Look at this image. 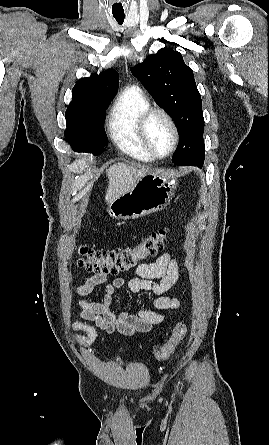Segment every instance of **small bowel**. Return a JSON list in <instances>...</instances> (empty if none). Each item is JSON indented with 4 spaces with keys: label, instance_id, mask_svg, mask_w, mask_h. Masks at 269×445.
Returning <instances> with one entry per match:
<instances>
[{
    "label": "small bowel",
    "instance_id": "small-bowel-1",
    "mask_svg": "<svg viewBox=\"0 0 269 445\" xmlns=\"http://www.w3.org/2000/svg\"><path fill=\"white\" fill-rule=\"evenodd\" d=\"M179 267L176 258L169 252H164L154 262L140 263L134 268V276L130 278L118 277L98 291V299L77 301L78 312L81 318L94 324L75 321L71 328L81 331L76 334V342L87 347L97 338V328L107 332H118L130 336L137 332H148L153 326L162 323L164 313L140 309L132 312H116L112 307L113 294L118 289L127 288L131 293L148 292L152 295L151 305L160 311L174 310L180 307L176 297L165 295L178 281ZM108 276L105 273H95L83 284L74 287L78 296L91 294L95 289L106 283Z\"/></svg>",
    "mask_w": 269,
    "mask_h": 445
}]
</instances>
